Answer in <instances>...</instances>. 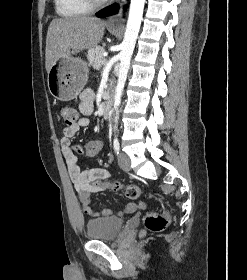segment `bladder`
<instances>
[{"instance_id":"bladder-1","label":"bladder","mask_w":247,"mask_h":280,"mask_svg":"<svg viewBox=\"0 0 247 280\" xmlns=\"http://www.w3.org/2000/svg\"><path fill=\"white\" fill-rule=\"evenodd\" d=\"M124 228V220L118 217H102L86 223V236L90 240H114Z\"/></svg>"}]
</instances>
